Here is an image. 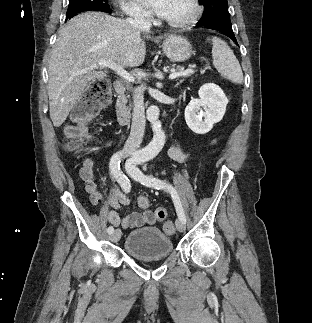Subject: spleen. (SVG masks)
I'll return each mask as SVG.
<instances>
[{"label":"spleen","mask_w":312,"mask_h":323,"mask_svg":"<svg viewBox=\"0 0 312 323\" xmlns=\"http://www.w3.org/2000/svg\"><path fill=\"white\" fill-rule=\"evenodd\" d=\"M213 64L221 76H226L234 84H242L241 66L228 44L221 38H211Z\"/></svg>","instance_id":"1"}]
</instances>
